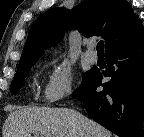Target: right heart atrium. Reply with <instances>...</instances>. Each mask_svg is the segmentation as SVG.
<instances>
[{"label":"right heart atrium","mask_w":144,"mask_h":137,"mask_svg":"<svg viewBox=\"0 0 144 137\" xmlns=\"http://www.w3.org/2000/svg\"><path fill=\"white\" fill-rule=\"evenodd\" d=\"M73 84V68L62 60L51 67L50 75L43 90L46 101L54 103L70 95Z\"/></svg>","instance_id":"1"}]
</instances>
